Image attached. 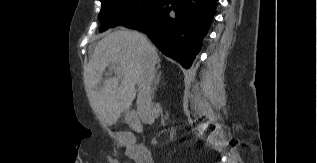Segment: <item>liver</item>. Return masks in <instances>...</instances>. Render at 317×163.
Returning a JSON list of instances; mask_svg holds the SVG:
<instances>
[{"instance_id":"6515ba94","label":"liver","mask_w":317,"mask_h":163,"mask_svg":"<svg viewBox=\"0 0 317 163\" xmlns=\"http://www.w3.org/2000/svg\"><path fill=\"white\" fill-rule=\"evenodd\" d=\"M150 60L160 67L155 46L136 31L119 29L98 42L85 71L84 83L91 105L104 126L115 124L121 113L131 107L136 85ZM116 63L121 67V76L102 81L105 69Z\"/></svg>"}]
</instances>
